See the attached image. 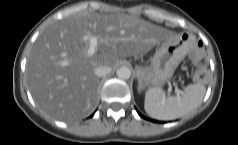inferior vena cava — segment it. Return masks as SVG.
<instances>
[{
    "mask_svg": "<svg viewBox=\"0 0 238 145\" xmlns=\"http://www.w3.org/2000/svg\"><path fill=\"white\" fill-rule=\"evenodd\" d=\"M111 67L109 66H99L94 69V73L97 77H103L111 72Z\"/></svg>",
    "mask_w": 238,
    "mask_h": 145,
    "instance_id": "inferior-vena-cava-1",
    "label": "inferior vena cava"
}]
</instances>
